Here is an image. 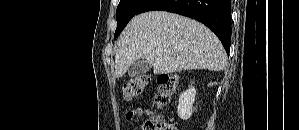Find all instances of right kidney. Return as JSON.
I'll list each match as a JSON object with an SVG mask.
<instances>
[{"label": "right kidney", "mask_w": 299, "mask_h": 130, "mask_svg": "<svg viewBox=\"0 0 299 130\" xmlns=\"http://www.w3.org/2000/svg\"><path fill=\"white\" fill-rule=\"evenodd\" d=\"M195 96L196 89L194 87L189 88L180 95L177 113L181 119L187 120L191 117Z\"/></svg>", "instance_id": "1"}]
</instances>
